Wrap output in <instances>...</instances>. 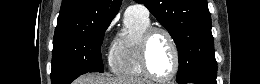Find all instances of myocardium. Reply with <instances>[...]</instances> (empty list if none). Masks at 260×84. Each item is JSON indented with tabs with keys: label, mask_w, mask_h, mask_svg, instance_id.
Wrapping results in <instances>:
<instances>
[{
	"label": "myocardium",
	"mask_w": 260,
	"mask_h": 84,
	"mask_svg": "<svg viewBox=\"0 0 260 84\" xmlns=\"http://www.w3.org/2000/svg\"><path fill=\"white\" fill-rule=\"evenodd\" d=\"M156 33L164 34L170 41L172 49H173L174 67H173L171 74L167 77L157 76L156 74L153 73V71L151 70L150 65H149V45H150V41H151L152 37ZM140 62H141V67H142L144 74L147 77H149L150 79H152L156 82H160V83H166V82L173 80L177 76V74L180 70V52H179L178 44H177L174 36L172 35V33L163 27H159V26L148 27L144 31V33L142 34L141 39H140Z\"/></svg>",
	"instance_id": "obj_1"
}]
</instances>
